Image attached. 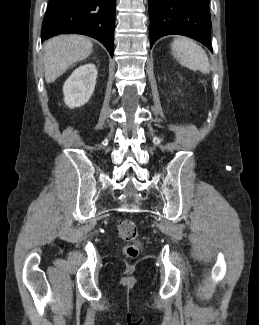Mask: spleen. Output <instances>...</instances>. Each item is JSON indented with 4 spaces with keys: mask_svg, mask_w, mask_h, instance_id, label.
Returning a JSON list of instances; mask_svg holds the SVG:
<instances>
[{
    "mask_svg": "<svg viewBox=\"0 0 259 325\" xmlns=\"http://www.w3.org/2000/svg\"><path fill=\"white\" fill-rule=\"evenodd\" d=\"M172 55L184 67L202 73L210 72V63L206 52L193 40L180 37L171 44Z\"/></svg>",
    "mask_w": 259,
    "mask_h": 325,
    "instance_id": "spleen-1",
    "label": "spleen"
}]
</instances>
